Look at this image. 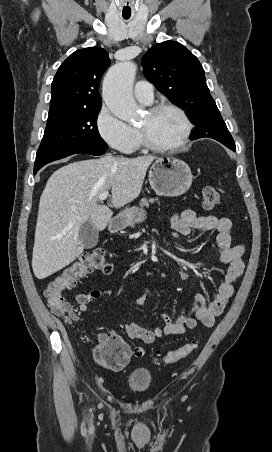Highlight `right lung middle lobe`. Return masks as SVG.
Segmentation results:
<instances>
[{
  "mask_svg": "<svg viewBox=\"0 0 272 452\" xmlns=\"http://www.w3.org/2000/svg\"><path fill=\"white\" fill-rule=\"evenodd\" d=\"M100 107L49 114L38 154L59 152L72 147L106 150L97 129Z\"/></svg>",
  "mask_w": 272,
  "mask_h": 452,
  "instance_id": "1",
  "label": "right lung middle lobe"
}]
</instances>
